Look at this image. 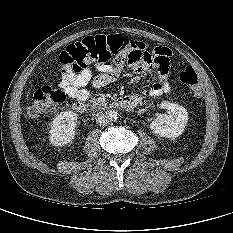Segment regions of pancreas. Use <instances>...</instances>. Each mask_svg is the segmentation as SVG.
<instances>
[{"label": "pancreas", "mask_w": 233, "mask_h": 233, "mask_svg": "<svg viewBox=\"0 0 233 233\" xmlns=\"http://www.w3.org/2000/svg\"><path fill=\"white\" fill-rule=\"evenodd\" d=\"M91 101H92L93 103H95L96 105H102V104H104V102H101L100 100L95 99V98H93Z\"/></svg>", "instance_id": "pancreas-1"}]
</instances>
